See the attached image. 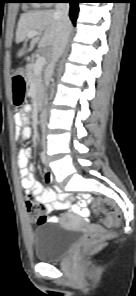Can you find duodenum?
Here are the masks:
<instances>
[{
    "label": "duodenum",
    "mask_w": 136,
    "mask_h": 296,
    "mask_svg": "<svg viewBox=\"0 0 136 296\" xmlns=\"http://www.w3.org/2000/svg\"><path fill=\"white\" fill-rule=\"evenodd\" d=\"M15 73H16L17 78L22 79V69H17ZM39 104H40V102H38V105Z\"/></svg>",
    "instance_id": "obj_1"
}]
</instances>
